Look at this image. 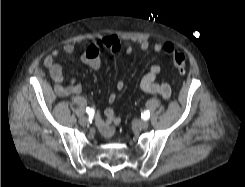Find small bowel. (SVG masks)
I'll use <instances>...</instances> for the list:
<instances>
[{"instance_id": "obj_1", "label": "small bowel", "mask_w": 245, "mask_h": 187, "mask_svg": "<svg viewBox=\"0 0 245 187\" xmlns=\"http://www.w3.org/2000/svg\"><path fill=\"white\" fill-rule=\"evenodd\" d=\"M167 43H156L152 46V50L155 53L165 51V45ZM141 51H147L150 48V44L147 40H142L139 43ZM63 52L66 54H73L75 46L72 43H66L63 48ZM103 50H108L114 53L120 52L122 46L120 41L113 35H108L90 44L82 53L81 60L87 64L91 69L98 71L101 67L100 53ZM127 53H132V47L125 49ZM60 51L53 50L44 59V66L49 70L51 79L54 81V91L60 97L65 96H79L82 92V84L72 77L67 85L63 84L64 76L62 66L58 62ZM162 73L160 65H152L149 68L148 73L142 78L140 82V88L146 93L157 94L162 98H169L171 96V87L167 83L158 82V77ZM125 87L123 80H119L116 84L117 90L121 91ZM116 99L115 94L109 96V101L114 102ZM120 123V118L111 109L107 108L104 111V117L97 119V124L102 134L110 138L115 134V126Z\"/></svg>"}]
</instances>
